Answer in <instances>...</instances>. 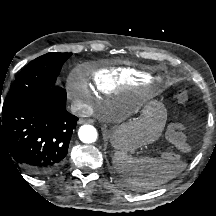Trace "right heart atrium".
<instances>
[{"label": "right heart atrium", "instance_id": "d8ad5b80", "mask_svg": "<svg viewBox=\"0 0 216 216\" xmlns=\"http://www.w3.org/2000/svg\"><path fill=\"white\" fill-rule=\"evenodd\" d=\"M68 93L85 107L91 106L93 101V92L84 83L80 82L76 77H70L67 82Z\"/></svg>", "mask_w": 216, "mask_h": 216}]
</instances>
